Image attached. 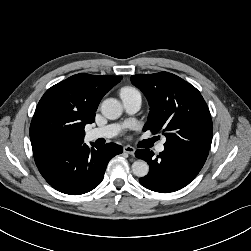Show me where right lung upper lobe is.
Listing matches in <instances>:
<instances>
[{
  "label": "right lung upper lobe",
  "instance_id": "right-lung-upper-lobe-1",
  "mask_svg": "<svg viewBox=\"0 0 251 251\" xmlns=\"http://www.w3.org/2000/svg\"><path fill=\"white\" fill-rule=\"evenodd\" d=\"M121 79L122 76L76 74L49 88L30 125L33 150L82 143L84 127L95 121L102 97Z\"/></svg>",
  "mask_w": 251,
  "mask_h": 251
}]
</instances>
